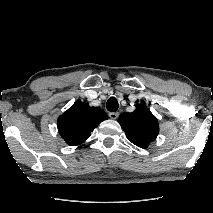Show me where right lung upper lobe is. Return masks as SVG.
Here are the masks:
<instances>
[{
	"label": "right lung upper lobe",
	"instance_id": "cb5924a9",
	"mask_svg": "<svg viewBox=\"0 0 213 213\" xmlns=\"http://www.w3.org/2000/svg\"><path fill=\"white\" fill-rule=\"evenodd\" d=\"M107 119V114L101 108L90 107L85 102H76L59 116L58 131L67 144L76 146L88 139L91 132Z\"/></svg>",
	"mask_w": 213,
	"mask_h": 213
}]
</instances>
